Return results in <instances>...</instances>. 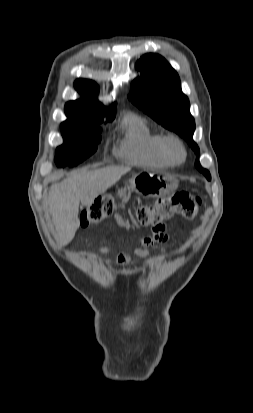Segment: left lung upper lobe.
<instances>
[{
  "instance_id": "5c2ea615",
  "label": "left lung upper lobe",
  "mask_w": 253,
  "mask_h": 413,
  "mask_svg": "<svg viewBox=\"0 0 253 413\" xmlns=\"http://www.w3.org/2000/svg\"><path fill=\"white\" fill-rule=\"evenodd\" d=\"M141 77L132 84L129 99L146 114L165 128L183 137L199 155V148L193 141L194 118L190 114L189 100L181 91L180 79L176 71L160 55L146 54L137 62ZM195 166L210 180L208 170Z\"/></svg>"
}]
</instances>
